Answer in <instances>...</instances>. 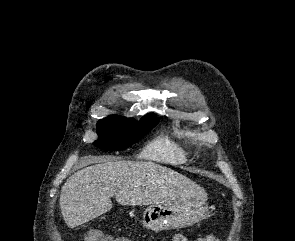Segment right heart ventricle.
Returning <instances> with one entry per match:
<instances>
[{
  "mask_svg": "<svg viewBox=\"0 0 295 241\" xmlns=\"http://www.w3.org/2000/svg\"><path fill=\"white\" fill-rule=\"evenodd\" d=\"M142 157L170 165L184 164L189 152L181 144L167 137H159L150 142L142 151Z\"/></svg>",
  "mask_w": 295,
  "mask_h": 241,
  "instance_id": "obj_1",
  "label": "right heart ventricle"
}]
</instances>
